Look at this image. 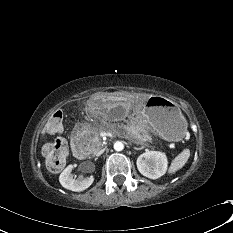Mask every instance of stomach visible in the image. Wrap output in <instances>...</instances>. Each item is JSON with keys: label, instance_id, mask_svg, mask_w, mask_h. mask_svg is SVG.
<instances>
[{"label": "stomach", "instance_id": "0dacf381", "mask_svg": "<svg viewBox=\"0 0 233 233\" xmlns=\"http://www.w3.org/2000/svg\"><path fill=\"white\" fill-rule=\"evenodd\" d=\"M134 111L135 102L131 98L102 96L93 97L89 101V112L93 116L129 118ZM140 119L150 131L167 141L181 140L187 128L178 105L163 96L150 97L142 109Z\"/></svg>", "mask_w": 233, "mask_h": 233}]
</instances>
